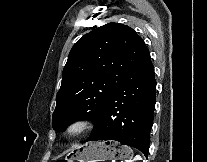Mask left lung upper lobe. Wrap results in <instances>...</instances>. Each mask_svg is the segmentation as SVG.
I'll list each match as a JSON object with an SVG mask.
<instances>
[{"label": "left lung upper lobe", "instance_id": "obj_1", "mask_svg": "<svg viewBox=\"0 0 207 162\" xmlns=\"http://www.w3.org/2000/svg\"><path fill=\"white\" fill-rule=\"evenodd\" d=\"M149 53L129 26L108 23L71 49L56 96L53 128L62 131L80 118L95 122L116 89Z\"/></svg>", "mask_w": 207, "mask_h": 162}]
</instances>
